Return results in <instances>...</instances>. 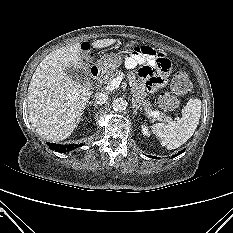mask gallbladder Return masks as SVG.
<instances>
[{"mask_svg": "<svg viewBox=\"0 0 233 233\" xmlns=\"http://www.w3.org/2000/svg\"><path fill=\"white\" fill-rule=\"evenodd\" d=\"M66 74L75 82L84 83L87 77L84 72L80 69H75L73 67L66 69Z\"/></svg>", "mask_w": 233, "mask_h": 233, "instance_id": "obj_1", "label": "gallbladder"}]
</instances>
